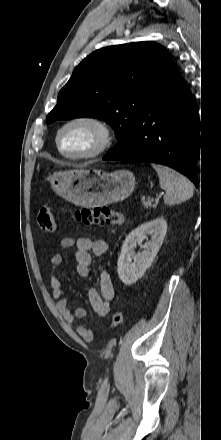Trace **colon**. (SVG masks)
<instances>
[{"label": "colon", "mask_w": 221, "mask_h": 440, "mask_svg": "<svg viewBox=\"0 0 221 440\" xmlns=\"http://www.w3.org/2000/svg\"><path fill=\"white\" fill-rule=\"evenodd\" d=\"M77 221L85 226L111 225L119 226L125 222L124 215L109 207L81 208L76 211ZM37 223L41 230L53 232L56 229L55 217L51 207H42L37 216ZM123 316L116 311L112 315L111 328L117 329L122 325Z\"/></svg>", "instance_id": "1"}]
</instances>
